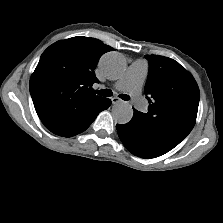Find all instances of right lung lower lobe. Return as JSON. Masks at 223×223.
<instances>
[{"instance_id":"right-lung-lower-lobe-1","label":"right lung lower lobe","mask_w":223,"mask_h":223,"mask_svg":"<svg viewBox=\"0 0 223 223\" xmlns=\"http://www.w3.org/2000/svg\"><path fill=\"white\" fill-rule=\"evenodd\" d=\"M110 104H111V100L106 98L104 104H102L101 107L97 110V113H96V115H95V118H96V116H97L102 110L107 109V108L110 106ZM95 118H94V120H95ZM94 120H93V121H94ZM93 121H92V122H93ZM92 122H91V123H92ZM91 123H90V124H91ZM90 124H89V125H90ZM89 125H88L87 127H85L82 131L77 132V133H64L63 131L54 132L53 130H51V129H50V130H51V132H53L54 134H57V135H60V136H64V137H71V136L77 135V134H79V133L85 131V130L89 127Z\"/></svg>"}]
</instances>
